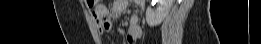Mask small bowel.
I'll return each mask as SVG.
<instances>
[{
    "mask_svg": "<svg viewBox=\"0 0 261 44\" xmlns=\"http://www.w3.org/2000/svg\"><path fill=\"white\" fill-rule=\"evenodd\" d=\"M129 1L116 0L110 6L99 4L93 11V17L97 24L98 30L101 34L110 32L112 30L111 20L117 19L121 12L128 6ZM138 5L142 6L141 3ZM106 16H109V20ZM142 36V27L139 24V17L137 12L131 15L128 31L126 35L127 43L133 44Z\"/></svg>",
    "mask_w": 261,
    "mask_h": 44,
    "instance_id": "1",
    "label": "small bowel"
}]
</instances>
